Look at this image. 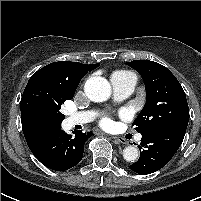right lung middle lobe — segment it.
Here are the masks:
<instances>
[{"mask_svg": "<svg viewBox=\"0 0 201 201\" xmlns=\"http://www.w3.org/2000/svg\"><path fill=\"white\" fill-rule=\"evenodd\" d=\"M76 88L36 72L29 79L21 98V118L40 126H58L65 118L60 112L62 104L71 100Z\"/></svg>", "mask_w": 201, "mask_h": 201, "instance_id": "1", "label": "right lung middle lobe"}]
</instances>
